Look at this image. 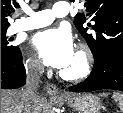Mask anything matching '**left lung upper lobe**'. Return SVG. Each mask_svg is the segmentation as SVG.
Returning <instances> with one entry per match:
<instances>
[{"mask_svg":"<svg viewBox=\"0 0 123 113\" xmlns=\"http://www.w3.org/2000/svg\"><path fill=\"white\" fill-rule=\"evenodd\" d=\"M85 1L86 12L77 14L74 24L87 41L94 60L105 63L123 52V0Z\"/></svg>","mask_w":123,"mask_h":113,"instance_id":"5c2ea615","label":"left lung upper lobe"}]
</instances>
